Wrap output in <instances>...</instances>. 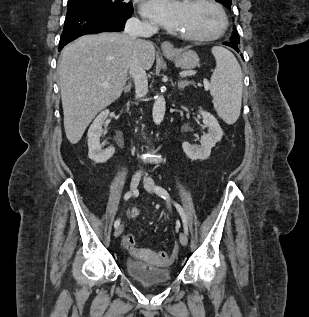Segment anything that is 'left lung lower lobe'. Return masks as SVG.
Here are the masks:
<instances>
[{
  "label": "left lung lower lobe",
  "instance_id": "obj_1",
  "mask_svg": "<svg viewBox=\"0 0 309 317\" xmlns=\"http://www.w3.org/2000/svg\"><path fill=\"white\" fill-rule=\"evenodd\" d=\"M223 44L232 47V48L235 49L237 52H240V50H239V48L237 47V45H234L233 43L224 42Z\"/></svg>",
  "mask_w": 309,
  "mask_h": 317
}]
</instances>
